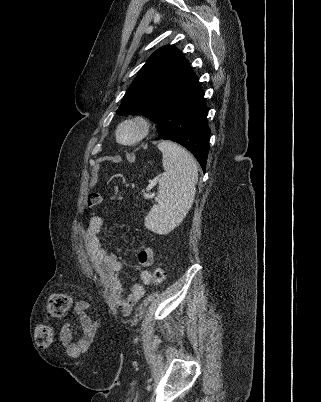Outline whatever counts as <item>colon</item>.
<instances>
[{
    "label": "colon",
    "instance_id": "obj_1",
    "mask_svg": "<svg viewBox=\"0 0 321 402\" xmlns=\"http://www.w3.org/2000/svg\"><path fill=\"white\" fill-rule=\"evenodd\" d=\"M103 201V196L99 193H92L87 198V209L97 207ZM166 279L163 267L158 266L153 270L152 280L155 284H162ZM73 298L69 293H56L49 297L47 313L49 317L60 318L64 316L72 307ZM53 340V330L47 324H39L35 329V341L40 347L49 346Z\"/></svg>",
    "mask_w": 321,
    "mask_h": 402
}]
</instances>
